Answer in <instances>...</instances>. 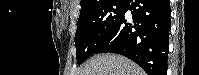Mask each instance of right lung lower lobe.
<instances>
[{
  "label": "right lung lower lobe",
  "instance_id": "1",
  "mask_svg": "<svg viewBox=\"0 0 199 75\" xmlns=\"http://www.w3.org/2000/svg\"><path fill=\"white\" fill-rule=\"evenodd\" d=\"M170 12L169 0H127L118 24L93 54H121L148 75H166Z\"/></svg>",
  "mask_w": 199,
  "mask_h": 75
}]
</instances>
